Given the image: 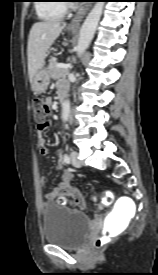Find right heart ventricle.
Returning <instances> with one entry per match:
<instances>
[{"label":"right heart ventricle","instance_id":"right-heart-ventricle-1","mask_svg":"<svg viewBox=\"0 0 158 275\" xmlns=\"http://www.w3.org/2000/svg\"><path fill=\"white\" fill-rule=\"evenodd\" d=\"M62 0H42L36 5V11L44 20H60L65 16L66 6Z\"/></svg>","mask_w":158,"mask_h":275}]
</instances>
